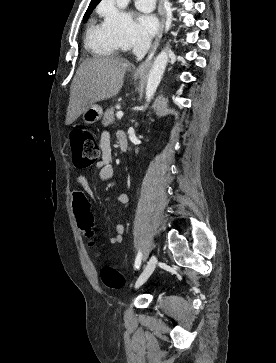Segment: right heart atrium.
<instances>
[{"label": "right heart atrium", "mask_w": 276, "mask_h": 363, "mask_svg": "<svg viewBox=\"0 0 276 363\" xmlns=\"http://www.w3.org/2000/svg\"><path fill=\"white\" fill-rule=\"evenodd\" d=\"M102 12L105 17V27L121 49L128 50L146 44L145 38L139 33L131 16L120 10L113 2L106 3Z\"/></svg>", "instance_id": "1"}]
</instances>
